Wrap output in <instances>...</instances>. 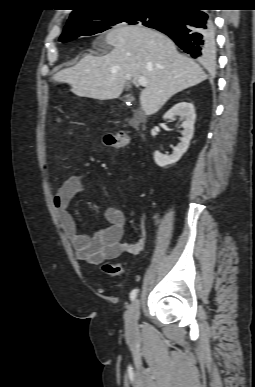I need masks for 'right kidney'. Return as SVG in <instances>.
<instances>
[{"instance_id":"obj_1","label":"right kidney","mask_w":255,"mask_h":387,"mask_svg":"<svg viewBox=\"0 0 255 387\" xmlns=\"http://www.w3.org/2000/svg\"><path fill=\"white\" fill-rule=\"evenodd\" d=\"M175 116H179L182 121V138L181 142L173 148V153L171 155H164L158 151L154 153L155 163L164 167L166 165L176 163L182 155L187 151L190 140L193 137L194 133V123H195V109L192 103L188 102H180L174 105L169 111H167L164 115V119H171Z\"/></svg>"}]
</instances>
